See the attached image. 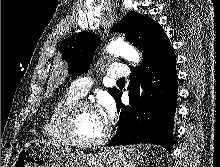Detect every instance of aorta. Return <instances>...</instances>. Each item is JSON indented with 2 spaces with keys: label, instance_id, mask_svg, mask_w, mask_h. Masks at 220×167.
<instances>
[{
  "label": "aorta",
  "instance_id": "762f6f07",
  "mask_svg": "<svg viewBox=\"0 0 220 167\" xmlns=\"http://www.w3.org/2000/svg\"><path fill=\"white\" fill-rule=\"evenodd\" d=\"M106 51L112 55L124 57L133 64H137L140 61V55L136 49L123 39L112 41L106 47Z\"/></svg>",
  "mask_w": 220,
  "mask_h": 167
}]
</instances>
